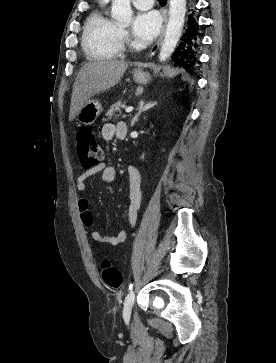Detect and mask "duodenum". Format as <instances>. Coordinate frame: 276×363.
<instances>
[{
    "mask_svg": "<svg viewBox=\"0 0 276 363\" xmlns=\"http://www.w3.org/2000/svg\"><path fill=\"white\" fill-rule=\"evenodd\" d=\"M125 138V135L121 136V139H124Z\"/></svg>",
    "mask_w": 276,
    "mask_h": 363,
    "instance_id": "obj_1",
    "label": "duodenum"
}]
</instances>
